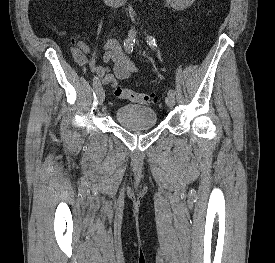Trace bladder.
Masks as SVG:
<instances>
[{
	"label": "bladder",
	"instance_id": "31cf9c89",
	"mask_svg": "<svg viewBox=\"0 0 275 263\" xmlns=\"http://www.w3.org/2000/svg\"><path fill=\"white\" fill-rule=\"evenodd\" d=\"M117 122L130 130H141L155 127L157 124L156 112L147 106L123 105L116 109Z\"/></svg>",
	"mask_w": 275,
	"mask_h": 263
}]
</instances>
